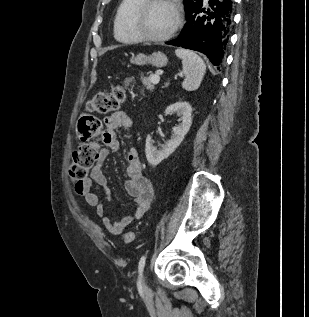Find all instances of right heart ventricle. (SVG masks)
Returning a JSON list of instances; mask_svg holds the SVG:
<instances>
[{"mask_svg":"<svg viewBox=\"0 0 309 317\" xmlns=\"http://www.w3.org/2000/svg\"><path fill=\"white\" fill-rule=\"evenodd\" d=\"M143 0H121L113 21V34L117 41L133 44L140 41L131 29V17Z\"/></svg>","mask_w":309,"mask_h":317,"instance_id":"obj_1","label":"right heart ventricle"}]
</instances>
